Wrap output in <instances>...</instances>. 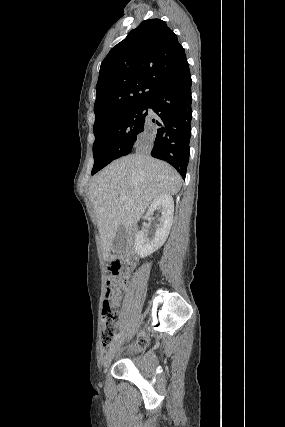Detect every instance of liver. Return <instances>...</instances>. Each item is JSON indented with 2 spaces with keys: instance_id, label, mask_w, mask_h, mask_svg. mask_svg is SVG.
<instances>
[{
  "instance_id": "6515ba94",
  "label": "liver",
  "mask_w": 285,
  "mask_h": 427,
  "mask_svg": "<svg viewBox=\"0 0 285 427\" xmlns=\"http://www.w3.org/2000/svg\"><path fill=\"white\" fill-rule=\"evenodd\" d=\"M180 187L181 177L172 166L144 152L119 158L99 172L89 186V195L104 259L110 257L120 226L131 229L155 199L175 195ZM121 195L127 200L122 201Z\"/></svg>"
}]
</instances>
